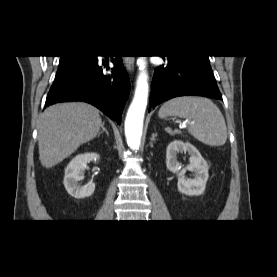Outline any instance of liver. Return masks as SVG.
<instances>
[{
  "instance_id": "liver-1",
  "label": "liver",
  "mask_w": 277,
  "mask_h": 277,
  "mask_svg": "<svg viewBox=\"0 0 277 277\" xmlns=\"http://www.w3.org/2000/svg\"><path fill=\"white\" fill-rule=\"evenodd\" d=\"M99 111L80 102L48 107L38 127L39 159L51 168L70 156L77 148L92 140L102 127Z\"/></svg>"
}]
</instances>
